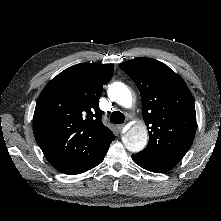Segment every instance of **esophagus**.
Returning a JSON list of instances; mask_svg holds the SVG:
<instances>
[{
    "label": "esophagus",
    "instance_id": "obj_1",
    "mask_svg": "<svg viewBox=\"0 0 221 221\" xmlns=\"http://www.w3.org/2000/svg\"><path fill=\"white\" fill-rule=\"evenodd\" d=\"M117 128L121 132V131H123L124 125L123 124H119V125H117Z\"/></svg>",
    "mask_w": 221,
    "mask_h": 221
}]
</instances>
